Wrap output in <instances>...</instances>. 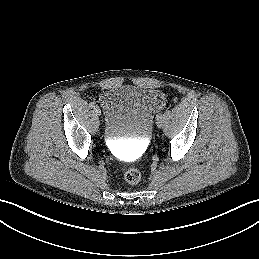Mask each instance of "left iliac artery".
<instances>
[{"instance_id":"44dca946","label":"left iliac artery","mask_w":259,"mask_h":259,"mask_svg":"<svg viewBox=\"0 0 259 259\" xmlns=\"http://www.w3.org/2000/svg\"><path fill=\"white\" fill-rule=\"evenodd\" d=\"M161 118H162V114H158V115L156 116V120H157V121H160Z\"/></svg>"}]
</instances>
